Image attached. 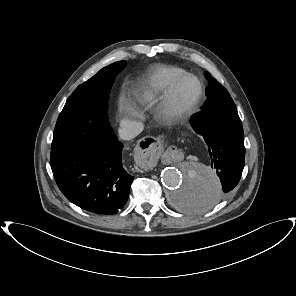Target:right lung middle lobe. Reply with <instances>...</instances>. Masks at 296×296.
Wrapping results in <instances>:
<instances>
[{"label":"right lung middle lobe","mask_w":296,"mask_h":296,"mask_svg":"<svg viewBox=\"0 0 296 296\" xmlns=\"http://www.w3.org/2000/svg\"><path fill=\"white\" fill-rule=\"evenodd\" d=\"M125 66V61H118L104 67L75 89L58 117L51 151L75 148L108 135L107 102L115 77Z\"/></svg>","instance_id":"dd1d6c3e"}]
</instances>
